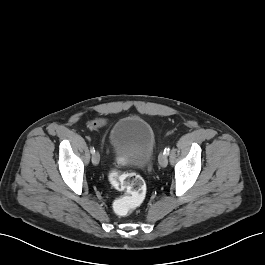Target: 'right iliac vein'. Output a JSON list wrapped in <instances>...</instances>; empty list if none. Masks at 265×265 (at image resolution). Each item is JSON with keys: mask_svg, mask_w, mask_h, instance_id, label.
I'll return each instance as SVG.
<instances>
[{"mask_svg": "<svg viewBox=\"0 0 265 265\" xmlns=\"http://www.w3.org/2000/svg\"><path fill=\"white\" fill-rule=\"evenodd\" d=\"M99 161H100L99 153L98 152L93 153V155H92V163L94 165H97L99 163Z\"/></svg>", "mask_w": 265, "mask_h": 265, "instance_id": "1", "label": "right iliac vein"}]
</instances>
